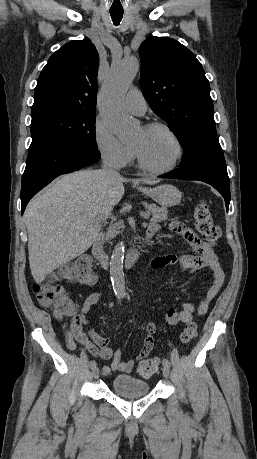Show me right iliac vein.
I'll list each match as a JSON object with an SVG mask.
<instances>
[{
    "instance_id": "63e3f726",
    "label": "right iliac vein",
    "mask_w": 257,
    "mask_h": 459,
    "mask_svg": "<svg viewBox=\"0 0 257 459\" xmlns=\"http://www.w3.org/2000/svg\"><path fill=\"white\" fill-rule=\"evenodd\" d=\"M92 374H93V377L97 379L99 377V369L97 367L92 369Z\"/></svg>"
}]
</instances>
